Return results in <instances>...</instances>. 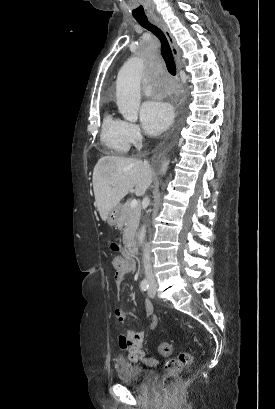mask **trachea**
<instances>
[{
  "label": "trachea",
  "instance_id": "obj_1",
  "mask_svg": "<svg viewBox=\"0 0 275 409\" xmlns=\"http://www.w3.org/2000/svg\"><path fill=\"white\" fill-rule=\"evenodd\" d=\"M137 22L141 25V27L146 28L147 30H149L150 32H152L154 35H156L159 38L161 42V54H162L163 59L166 62L168 72L171 73V75L175 76L176 75L175 61L173 58V54H172L170 45L167 41L166 36L162 32V30H160V28L150 23L148 19H142V20L137 19Z\"/></svg>",
  "mask_w": 275,
  "mask_h": 409
}]
</instances>
